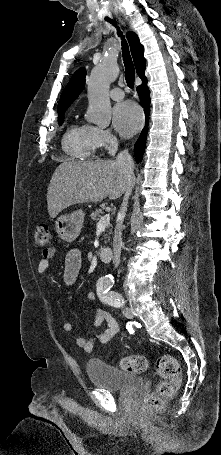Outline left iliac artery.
<instances>
[{
    "label": "left iliac artery",
    "mask_w": 221,
    "mask_h": 455,
    "mask_svg": "<svg viewBox=\"0 0 221 455\" xmlns=\"http://www.w3.org/2000/svg\"><path fill=\"white\" fill-rule=\"evenodd\" d=\"M97 294L100 300L114 307H121L124 304V299L118 292L112 291L111 286H99Z\"/></svg>",
    "instance_id": "obj_1"
}]
</instances>
